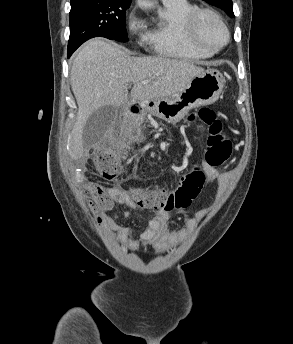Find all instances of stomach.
Listing matches in <instances>:
<instances>
[{
    "label": "stomach",
    "instance_id": "stomach-1",
    "mask_svg": "<svg viewBox=\"0 0 293 344\" xmlns=\"http://www.w3.org/2000/svg\"><path fill=\"white\" fill-rule=\"evenodd\" d=\"M225 84L223 75L215 69H206L195 76L190 84L177 94L149 101L139 102L144 113H151L162 120L175 124L189 110L214 103Z\"/></svg>",
    "mask_w": 293,
    "mask_h": 344
}]
</instances>
